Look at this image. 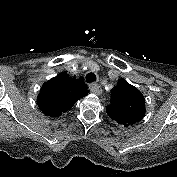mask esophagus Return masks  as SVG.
<instances>
[{
	"label": "esophagus",
	"mask_w": 177,
	"mask_h": 177,
	"mask_svg": "<svg viewBox=\"0 0 177 177\" xmlns=\"http://www.w3.org/2000/svg\"><path fill=\"white\" fill-rule=\"evenodd\" d=\"M89 89L92 93H94L96 95H100L102 93L101 87L96 83L89 84Z\"/></svg>",
	"instance_id": "34e87169"
}]
</instances>
